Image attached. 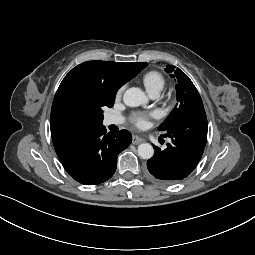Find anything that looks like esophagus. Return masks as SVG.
<instances>
[{"label": "esophagus", "instance_id": "obj_1", "mask_svg": "<svg viewBox=\"0 0 255 255\" xmlns=\"http://www.w3.org/2000/svg\"><path fill=\"white\" fill-rule=\"evenodd\" d=\"M143 140L139 137V136H137V135H133V137H132V143L133 144H139V143H141Z\"/></svg>", "mask_w": 255, "mask_h": 255}]
</instances>
